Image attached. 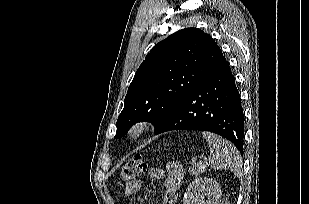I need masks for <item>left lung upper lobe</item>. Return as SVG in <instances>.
<instances>
[{
  "label": "left lung upper lobe",
  "instance_id": "left-lung-upper-lobe-1",
  "mask_svg": "<svg viewBox=\"0 0 309 204\" xmlns=\"http://www.w3.org/2000/svg\"><path fill=\"white\" fill-rule=\"evenodd\" d=\"M212 37L197 28L179 30L156 44L128 88L114 138L141 121L155 132L192 91L224 61Z\"/></svg>",
  "mask_w": 309,
  "mask_h": 204
}]
</instances>
